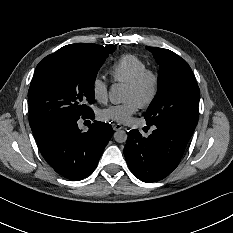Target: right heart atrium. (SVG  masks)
I'll return each mask as SVG.
<instances>
[{
    "label": "right heart atrium",
    "mask_w": 233,
    "mask_h": 233,
    "mask_svg": "<svg viewBox=\"0 0 233 233\" xmlns=\"http://www.w3.org/2000/svg\"><path fill=\"white\" fill-rule=\"evenodd\" d=\"M92 91L96 100L104 101L108 96V84L99 77H95L92 81Z\"/></svg>",
    "instance_id": "obj_1"
}]
</instances>
